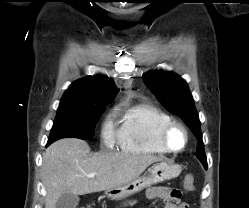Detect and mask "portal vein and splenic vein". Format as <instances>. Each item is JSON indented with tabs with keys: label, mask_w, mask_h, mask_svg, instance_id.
Returning <instances> with one entry per match:
<instances>
[{
	"label": "portal vein and splenic vein",
	"mask_w": 249,
	"mask_h": 208,
	"mask_svg": "<svg viewBox=\"0 0 249 208\" xmlns=\"http://www.w3.org/2000/svg\"><path fill=\"white\" fill-rule=\"evenodd\" d=\"M95 176H96L95 173H91V174H88V175H87L88 178H94Z\"/></svg>",
	"instance_id": "18ae733b"
}]
</instances>
